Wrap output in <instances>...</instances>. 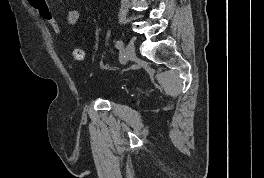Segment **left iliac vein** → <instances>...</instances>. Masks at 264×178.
I'll return each mask as SVG.
<instances>
[{
    "mask_svg": "<svg viewBox=\"0 0 264 178\" xmlns=\"http://www.w3.org/2000/svg\"><path fill=\"white\" fill-rule=\"evenodd\" d=\"M135 55L134 41L130 40L124 50V61L131 60Z\"/></svg>",
    "mask_w": 264,
    "mask_h": 178,
    "instance_id": "4c4485c4",
    "label": "left iliac vein"
}]
</instances>
